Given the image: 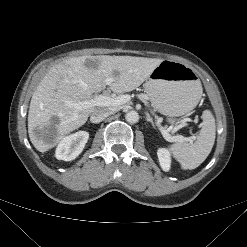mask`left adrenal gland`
Masks as SVG:
<instances>
[{
    "instance_id": "1",
    "label": "left adrenal gland",
    "mask_w": 247,
    "mask_h": 247,
    "mask_svg": "<svg viewBox=\"0 0 247 247\" xmlns=\"http://www.w3.org/2000/svg\"><path fill=\"white\" fill-rule=\"evenodd\" d=\"M146 120H147L148 122H150L151 125L155 128L153 119L151 118V116L149 115V113H147V115H146Z\"/></svg>"
}]
</instances>
